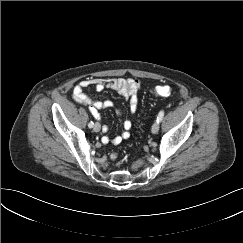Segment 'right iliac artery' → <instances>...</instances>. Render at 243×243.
Masks as SVG:
<instances>
[{"label":"right iliac artery","instance_id":"1","mask_svg":"<svg viewBox=\"0 0 243 243\" xmlns=\"http://www.w3.org/2000/svg\"><path fill=\"white\" fill-rule=\"evenodd\" d=\"M88 126H89V128H92L94 126V123L91 121V122H89Z\"/></svg>","mask_w":243,"mask_h":243}]
</instances>
